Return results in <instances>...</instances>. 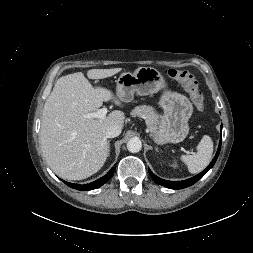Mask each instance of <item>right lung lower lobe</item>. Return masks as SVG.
Listing matches in <instances>:
<instances>
[{"label": "right lung lower lobe", "instance_id": "1", "mask_svg": "<svg viewBox=\"0 0 253 253\" xmlns=\"http://www.w3.org/2000/svg\"><path fill=\"white\" fill-rule=\"evenodd\" d=\"M114 170H115V167H113L105 176H103V177H101V178L97 179L96 181L91 182L89 184L80 185V184L68 183L65 181H63V182H65L71 188H74L77 190H84V191L93 190V189H96V188L102 186L103 184H105L113 176Z\"/></svg>", "mask_w": 253, "mask_h": 253}]
</instances>
